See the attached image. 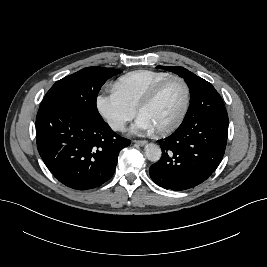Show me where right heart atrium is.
Returning a JSON list of instances; mask_svg holds the SVG:
<instances>
[{"label":"right heart atrium","instance_id":"1","mask_svg":"<svg viewBox=\"0 0 267 267\" xmlns=\"http://www.w3.org/2000/svg\"><path fill=\"white\" fill-rule=\"evenodd\" d=\"M96 107L99 114L115 131L124 130L136 112L135 108L114 90L100 93L96 98Z\"/></svg>","mask_w":267,"mask_h":267}]
</instances>
